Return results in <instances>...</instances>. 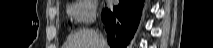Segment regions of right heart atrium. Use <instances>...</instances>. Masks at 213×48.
<instances>
[{
    "label": "right heart atrium",
    "mask_w": 213,
    "mask_h": 48,
    "mask_svg": "<svg viewBox=\"0 0 213 48\" xmlns=\"http://www.w3.org/2000/svg\"><path fill=\"white\" fill-rule=\"evenodd\" d=\"M97 3L94 0H79L73 2L68 13L71 19L78 25H87L96 18Z\"/></svg>",
    "instance_id": "1"
}]
</instances>
